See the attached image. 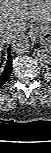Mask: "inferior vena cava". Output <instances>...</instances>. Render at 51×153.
<instances>
[{
	"instance_id": "1",
	"label": "inferior vena cava",
	"mask_w": 51,
	"mask_h": 153,
	"mask_svg": "<svg viewBox=\"0 0 51 153\" xmlns=\"http://www.w3.org/2000/svg\"><path fill=\"white\" fill-rule=\"evenodd\" d=\"M8 42L7 35L5 33H0V45L4 46Z\"/></svg>"
}]
</instances>
